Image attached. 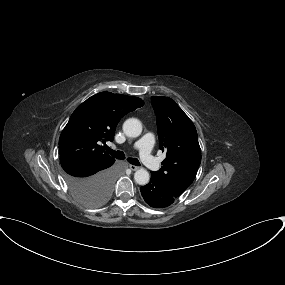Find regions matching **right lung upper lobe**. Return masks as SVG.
Masks as SVG:
<instances>
[{
	"instance_id": "1",
	"label": "right lung upper lobe",
	"mask_w": 285,
	"mask_h": 285,
	"mask_svg": "<svg viewBox=\"0 0 285 285\" xmlns=\"http://www.w3.org/2000/svg\"><path fill=\"white\" fill-rule=\"evenodd\" d=\"M143 105L140 98L110 92L98 93L80 104L59 138L62 168L82 161H113L100 143L112 141L120 119Z\"/></svg>"
}]
</instances>
